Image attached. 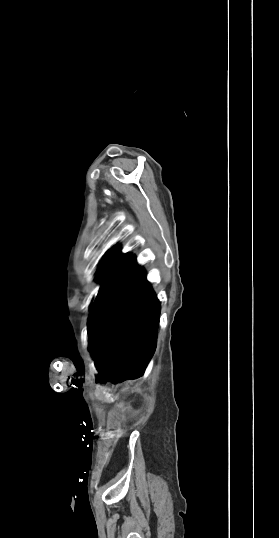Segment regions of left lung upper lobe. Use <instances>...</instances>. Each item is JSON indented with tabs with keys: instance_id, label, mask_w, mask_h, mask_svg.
<instances>
[{
	"instance_id": "obj_1",
	"label": "left lung upper lobe",
	"mask_w": 279,
	"mask_h": 538,
	"mask_svg": "<svg viewBox=\"0 0 279 538\" xmlns=\"http://www.w3.org/2000/svg\"><path fill=\"white\" fill-rule=\"evenodd\" d=\"M131 257L132 256L129 253L122 255L119 246H115L108 250L100 263L97 273V280L101 283V287L107 283Z\"/></svg>"
}]
</instances>
